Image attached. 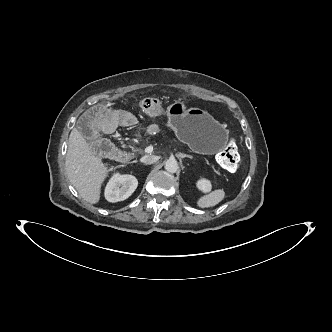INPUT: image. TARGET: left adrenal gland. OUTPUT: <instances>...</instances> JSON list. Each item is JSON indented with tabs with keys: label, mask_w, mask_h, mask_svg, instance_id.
Masks as SVG:
<instances>
[{
	"label": "left adrenal gland",
	"mask_w": 332,
	"mask_h": 332,
	"mask_svg": "<svg viewBox=\"0 0 332 332\" xmlns=\"http://www.w3.org/2000/svg\"><path fill=\"white\" fill-rule=\"evenodd\" d=\"M178 156H179L181 159H183V158H185V157L190 158V159L193 158L191 155H186V154H183V153H179Z\"/></svg>",
	"instance_id": "a2214340"
}]
</instances>
